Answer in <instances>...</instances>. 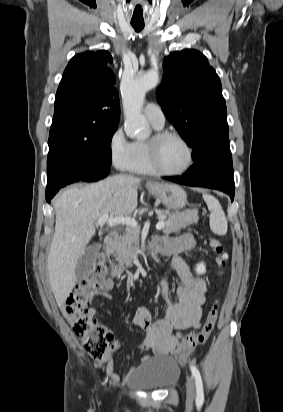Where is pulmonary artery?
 <instances>
[{"mask_svg": "<svg viewBox=\"0 0 283 412\" xmlns=\"http://www.w3.org/2000/svg\"><path fill=\"white\" fill-rule=\"evenodd\" d=\"M145 118L155 127L162 128L165 124V115L156 103H148L144 108Z\"/></svg>", "mask_w": 283, "mask_h": 412, "instance_id": "1", "label": "pulmonary artery"}]
</instances>
